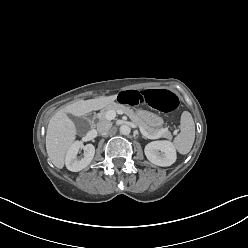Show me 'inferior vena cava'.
Returning <instances> with one entry per match:
<instances>
[{"label":"inferior vena cava","instance_id":"1","mask_svg":"<svg viewBox=\"0 0 248 248\" xmlns=\"http://www.w3.org/2000/svg\"><path fill=\"white\" fill-rule=\"evenodd\" d=\"M111 127H112V124L106 120H102V121L97 123V131L99 133H105L108 130H110Z\"/></svg>","mask_w":248,"mask_h":248}]
</instances>
